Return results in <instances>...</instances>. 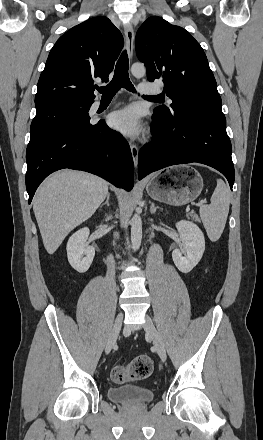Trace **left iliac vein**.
Wrapping results in <instances>:
<instances>
[{"label": "left iliac vein", "mask_w": 263, "mask_h": 440, "mask_svg": "<svg viewBox=\"0 0 263 440\" xmlns=\"http://www.w3.org/2000/svg\"><path fill=\"white\" fill-rule=\"evenodd\" d=\"M144 330H145L146 334L152 339L153 344H154L156 351H157L159 357L161 358V360L165 361L167 355H166V349H165L164 343H163L158 331L156 330L153 322L151 321V319L148 316H146Z\"/></svg>", "instance_id": "4c4485c4"}]
</instances>
